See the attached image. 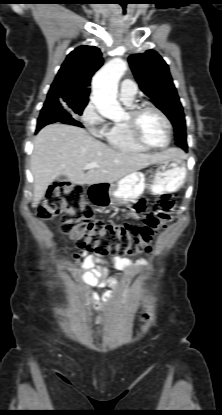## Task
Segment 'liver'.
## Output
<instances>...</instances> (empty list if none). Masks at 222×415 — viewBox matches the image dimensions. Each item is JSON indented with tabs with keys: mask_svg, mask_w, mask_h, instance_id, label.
Here are the masks:
<instances>
[{
	"mask_svg": "<svg viewBox=\"0 0 222 415\" xmlns=\"http://www.w3.org/2000/svg\"><path fill=\"white\" fill-rule=\"evenodd\" d=\"M183 155L178 148L153 154L119 151L80 127L58 123L47 125L36 135L31 155L32 207H37L48 186L59 176H66L72 183L80 185L112 184L151 164ZM91 162H96L98 167L85 172L83 167Z\"/></svg>",
	"mask_w": 222,
	"mask_h": 415,
	"instance_id": "6515ba94",
	"label": "liver"
}]
</instances>
